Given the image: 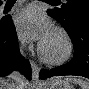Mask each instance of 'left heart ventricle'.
<instances>
[{
	"instance_id": "1",
	"label": "left heart ventricle",
	"mask_w": 89,
	"mask_h": 89,
	"mask_svg": "<svg viewBox=\"0 0 89 89\" xmlns=\"http://www.w3.org/2000/svg\"><path fill=\"white\" fill-rule=\"evenodd\" d=\"M42 45L45 52L51 57H59L65 50L63 38L54 31H52L49 38Z\"/></svg>"
}]
</instances>
